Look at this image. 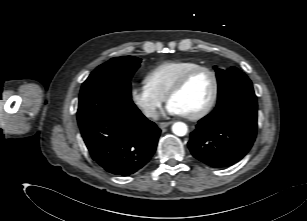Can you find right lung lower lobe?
Returning <instances> with one entry per match:
<instances>
[{
    "label": "right lung lower lobe",
    "instance_id": "98d812e1",
    "mask_svg": "<svg viewBox=\"0 0 307 221\" xmlns=\"http://www.w3.org/2000/svg\"><path fill=\"white\" fill-rule=\"evenodd\" d=\"M80 130L92 159L119 176L131 175L148 163L161 132L136 106L93 116Z\"/></svg>",
    "mask_w": 307,
    "mask_h": 221
}]
</instances>
